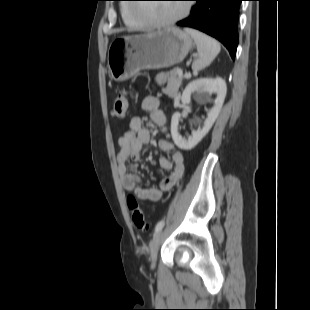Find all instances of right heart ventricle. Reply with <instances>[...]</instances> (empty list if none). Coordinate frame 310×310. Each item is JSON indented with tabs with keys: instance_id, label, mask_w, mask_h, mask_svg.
Here are the masks:
<instances>
[{
	"instance_id": "right-heart-ventricle-1",
	"label": "right heart ventricle",
	"mask_w": 310,
	"mask_h": 310,
	"mask_svg": "<svg viewBox=\"0 0 310 310\" xmlns=\"http://www.w3.org/2000/svg\"><path fill=\"white\" fill-rule=\"evenodd\" d=\"M121 16L123 19V22L125 23V25L131 29H140L142 27H145L144 24L135 19L132 15H131V5L129 4H122L121 5Z\"/></svg>"
}]
</instances>
